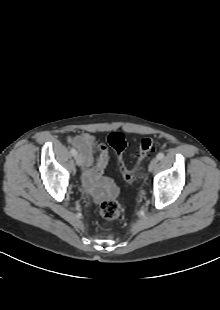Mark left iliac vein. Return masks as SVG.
<instances>
[{"instance_id": "4c4485c4", "label": "left iliac vein", "mask_w": 220, "mask_h": 310, "mask_svg": "<svg viewBox=\"0 0 220 310\" xmlns=\"http://www.w3.org/2000/svg\"><path fill=\"white\" fill-rule=\"evenodd\" d=\"M158 165V159L157 158H153L148 166V170L150 172H152Z\"/></svg>"}]
</instances>
